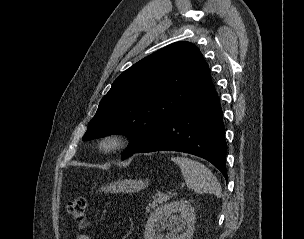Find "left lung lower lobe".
<instances>
[{"label":"left lung lower lobe","instance_id":"0a47b994","mask_svg":"<svg viewBox=\"0 0 304 239\" xmlns=\"http://www.w3.org/2000/svg\"><path fill=\"white\" fill-rule=\"evenodd\" d=\"M180 151L211 162L227 178L225 130L222 110L211 79L146 144L130 154Z\"/></svg>","mask_w":304,"mask_h":239}]
</instances>
